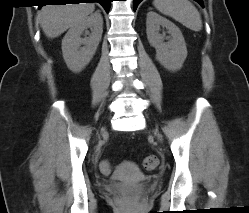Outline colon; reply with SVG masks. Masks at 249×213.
Masks as SVG:
<instances>
[{
	"instance_id": "colon-1",
	"label": "colon",
	"mask_w": 249,
	"mask_h": 213,
	"mask_svg": "<svg viewBox=\"0 0 249 213\" xmlns=\"http://www.w3.org/2000/svg\"><path fill=\"white\" fill-rule=\"evenodd\" d=\"M159 164L158 158L155 155H148L143 159L142 166L146 170H153ZM103 172L107 173L110 171V164L108 161H103L101 164Z\"/></svg>"
}]
</instances>
